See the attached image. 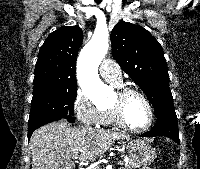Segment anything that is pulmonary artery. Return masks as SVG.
Listing matches in <instances>:
<instances>
[{
  "label": "pulmonary artery",
  "instance_id": "obj_1",
  "mask_svg": "<svg viewBox=\"0 0 200 169\" xmlns=\"http://www.w3.org/2000/svg\"><path fill=\"white\" fill-rule=\"evenodd\" d=\"M99 70H100L101 76L105 80H107L111 83H114L116 85L121 84V82H122L121 69L115 61L110 60V59H106V60L102 61Z\"/></svg>",
  "mask_w": 200,
  "mask_h": 169
}]
</instances>
